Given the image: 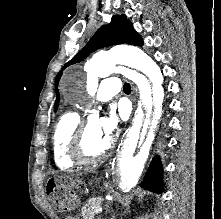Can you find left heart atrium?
I'll return each instance as SVG.
<instances>
[{
  "label": "left heart atrium",
  "instance_id": "left-heart-atrium-1",
  "mask_svg": "<svg viewBox=\"0 0 221 219\" xmlns=\"http://www.w3.org/2000/svg\"><path fill=\"white\" fill-rule=\"evenodd\" d=\"M119 124V120L114 112H110L99 120V127L107 137H111Z\"/></svg>",
  "mask_w": 221,
  "mask_h": 219
}]
</instances>
